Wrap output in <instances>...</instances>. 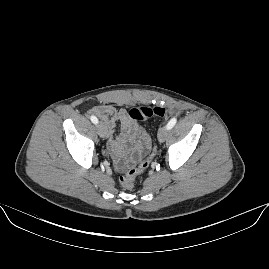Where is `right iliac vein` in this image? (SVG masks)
I'll use <instances>...</instances> for the list:
<instances>
[{
	"label": "right iliac vein",
	"mask_w": 269,
	"mask_h": 269,
	"mask_svg": "<svg viewBox=\"0 0 269 269\" xmlns=\"http://www.w3.org/2000/svg\"><path fill=\"white\" fill-rule=\"evenodd\" d=\"M97 133L102 138H105L107 136V127L103 122H100L97 125Z\"/></svg>",
	"instance_id": "obj_1"
}]
</instances>
